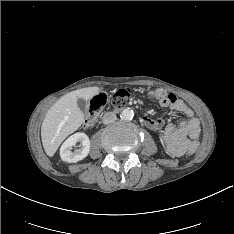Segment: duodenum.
I'll return each instance as SVG.
<instances>
[{"instance_id": "obj_1", "label": "duodenum", "mask_w": 234, "mask_h": 234, "mask_svg": "<svg viewBox=\"0 0 234 234\" xmlns=\"http://www.w3.org/2000/svg\"><path fill=\"white\" fill-rule=\"evenodd\" d=\"M119 109H121V108H115V111H118Z\"/></svg>"}]
</instances>
